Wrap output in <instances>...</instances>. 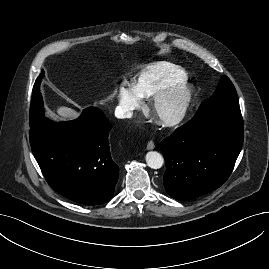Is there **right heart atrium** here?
Returning <instances> with one entry per match:
<instances>
[{
  "label": "right heart atrium",
  "mask_w": 269,
  "mask_h": 269,
  "mask_svg": "<svg viewBox=\"0 0 269 269\" xmlns=\"http://www.w3.org/2000/svg\"><path fill=\"white\" fill-rule=\"evenodd\" d=\"M118 110L124 116H131L142 105V99L133 86L121 85L117 91Z\"/></svg>",
  "instance_id": "d8ad5b80"
}]
</instances>
